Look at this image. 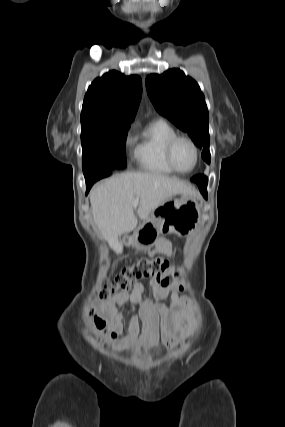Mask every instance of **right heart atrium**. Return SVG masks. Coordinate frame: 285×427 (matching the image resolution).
<instances>
[{
  "label": "right heart atrium",
  "instance_id": "d8ad5b80",
  "mask_svg": "<svg viewBox=\"0 0 285 427\" xmlns=\"http://www.w3.org/2000/svg\"><path fill=\"white\" fill-rule=\"evenodd\" d=\"M125 142H126L127 145L130 144V142H131V136H130V134H127Z\"/></svg>",
  "mask_w": 285,
  "mask_h": 427
}]
</instances>
